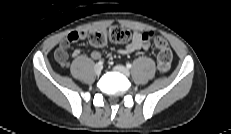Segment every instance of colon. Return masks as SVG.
I'll use <instances>...</instances> for the list:
<instances>
[{
  "label": "colon",
  "instance_id": "obj_1",
  "mask_svg": "<svg viewBox=\"0 0 231 134\" xmlns=\"http://www.w3.org/2000/svg\"><path fill=\"white\" fill-rule=\"evenodd\" d=\"M130 38L131 33L121 26H112L108 30L94 31L89 34L90 43L97 47L104 46L108 40L122 44L128 42ZM154 45L158 49V69L161 73H166L170 69L173 59L172 51L161 37H155Z\"/></svg>",
  "mask_w": 231,
  "mask_h": 134
}]
</instances>
